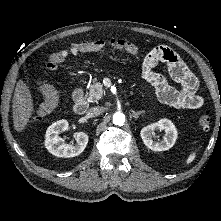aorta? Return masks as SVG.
<instances>
[{
    "instance_id": "aorta-1",
    "label": "aorta",
    "mask_w": 221,
    "mask_h": 221,
    "mask_svg": "<svg viewBox=\"0 0 221 221\" xmlns=\"http://www.w3.org/2000/svg\"><path fill=\"white\" fill-rule=\"evenodd\" d=\"M125 122V115L121 112H116L113 115V123L118 126H122Z\"/></svg>"
}]
</instances>
